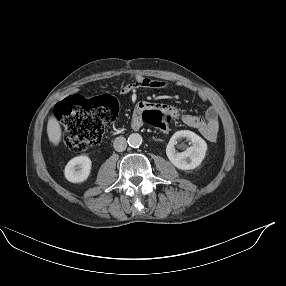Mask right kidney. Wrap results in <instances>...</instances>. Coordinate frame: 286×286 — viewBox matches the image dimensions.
<instances>
[{
  "mask_svg": "<svg viewBox=\"0 0 286 286\" xmlns=\"http://www.w3.org/2000/svg\"><path fill=\"white\" fill-rule=\"evenodd\" d=\"M92 162L88 156L81 155L71 159L65 166V177L73 183L85 181L91 172Z\"/></svg>",
  "mask_w": 286,
  "mask_h": 286,
  "instance_id": "1",
  "label": "right kidney"
}]
</instances>
